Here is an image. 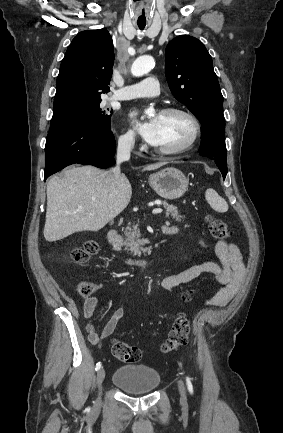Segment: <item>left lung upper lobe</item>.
<instances>
[{
    "label": "left lung upper lobe",
    "instance_id": "obj_1",
    "mask_svg": "<svg viewBox=\"0 0 283 433\" xmlns=\"http://www.w3.org/2000/svg\"><path fill=\"white\" fill-rule=\"evenodd\" d=\"M165 61L174 97L198 118L202 133L217 132L224 138L223 96L206 47L192 36H177L166 47Z\"/></svg>",
    "mask_w": 283,
    "mask_h": 433
}]
</instances>
